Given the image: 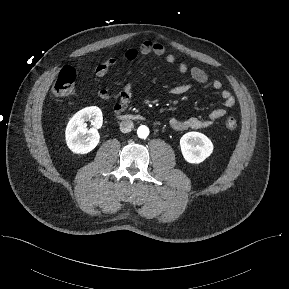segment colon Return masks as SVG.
<instances>
[{
	"mask_svg": "<svg viewBox=\"0 0 289 289\" xmlns=\"http://www.w3.org/2000/svg\"><path fill=\"white\" fill-rule=\"evenodd\" d=\"M76 71L65 66L59 73L58 78L53 86V94L59 98L69 97L75 92ZM225 126L228 130H235L237 120L234 116H228L225 120Z\"/></svg>",
	"mask_w": 289,
	"mask_h": 289,
	"instance_id": "colon-1",
	"label": "colon"
}]
</instances>
